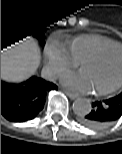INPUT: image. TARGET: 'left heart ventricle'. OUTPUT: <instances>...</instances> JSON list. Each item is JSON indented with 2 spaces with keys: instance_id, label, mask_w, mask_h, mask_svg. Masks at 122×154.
Instances as JSON below:
<instances>
[{
  "instance_id": "left-heart-ventricle-1",
  "label": "left heart ventricle",
  "mask_w": 122,
  "mask_h": 154,
  "mask_svg": "<svg viewBox=\"0 0 122 154\" xmlns=\"http://www.w3.org/2000/svg\"><path fill=\"white\" fill-rule=\"evenodd\" d=\"M81 73L92 91L114 84L122 76V49L111 50L86 62Z\"/></svg>"
}]
</instances>
